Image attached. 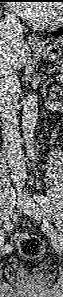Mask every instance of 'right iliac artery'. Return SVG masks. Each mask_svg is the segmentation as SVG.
<instances>
[{
    "label": "right iliac artery",
    "instance_id": "right-iliac-artery-1",
    "mask_svg": "<svg viewBox=\"0 0 63 297\" xmlns=\"http://www.w3.org/2000/svg\"><path fill=\"white\" fill-rule=\"evenodd\" d=\"M13 227L12 223L10 221H5L4 222V229L6 230H11Z\"/></svg>",
    "mask_w": 63,
    "mask_h": 297
}]
</instances>
